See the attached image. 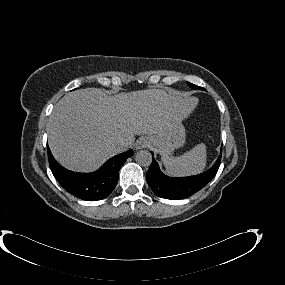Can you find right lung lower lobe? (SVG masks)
I'll return each mask as SVG.
<instances>
[{
    "label": "right lung lower lobe",
    "instance_id": "right-lung-lower-lobe-1",
    "mask_svg": "<svg viewBox=\"0 0 285 285\" xmlns=\"http://www.w3.org/2000/svg\"><path fill=\"white\" fill-rule=\"evenodd\" d=\"M51 171L61 186L73 196L85 201H97L108 197L115 188L119 170L133 151L119 154L108 160L93 173L72 172L57 163L47 147Z\"/></svg>",
    "mask_w": 285,
    "mask_h": 285
}]
</instances>
